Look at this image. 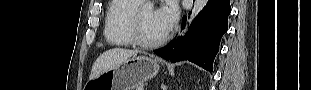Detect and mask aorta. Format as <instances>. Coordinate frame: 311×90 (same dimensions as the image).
Wrapping results in <instances>:
<instances>
[{
  "instance_id": "obj_1",
  "label": "aorta",
  "mask_w": 311,
  "mask_h": 90,
  "mask_svg": "<svg viewBox=\"0 0 311 90\" xmlns=\"http://www.w3.org/2000/svg\"><path fill=\"white\" fill-rule=\"evenodd\" d=\"M208 0H195L194 9L191 18H195L196 15L206 6ZM151 7V5H148Z\"/></svg>"
}]
</instances>
